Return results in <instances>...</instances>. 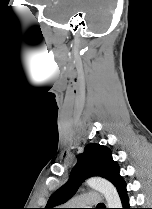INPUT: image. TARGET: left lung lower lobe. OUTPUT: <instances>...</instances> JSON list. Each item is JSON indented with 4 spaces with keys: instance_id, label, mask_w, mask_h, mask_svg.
Returning <instances> with one entry per match:
<instances>
[{
    "instance_id": "left-lung-lower-lobe-1",
    "label": "left lung lower lobe",
    "mask_w": 152,
    "mask_h": 209,
    "mask_svg": "<svg viewBox=\"0 0 152 209\" xmlns=\"http://www.w3.org/2000/svg\"><path fill=\"white\" fill-rule=\"evenodd\" d=\"M118 194L120 196L121 202H122V209H132L130 208L129 205V199L127 195V190H126V183L124 182L118 189Z\"/></svg>"
}]
</instances>
